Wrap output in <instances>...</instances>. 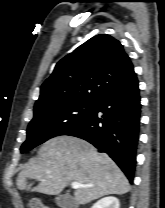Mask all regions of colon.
Listing matches in <instances>:
<instances>
[{
    "mask_svg": "<svg viewBox=\"0 0 165 208\" xmlns=\"http://www.w3.org/2000/svg\"><path fill=\"white\" fill-rule=\"evenodd\" d=\"M30 208H48L41 200L32 199L30 202Z\"/></svg>",
    "mask_w": 165,
    "mask_h": 208,
    "instance_id": "1",
    "label": "colon"
}]
</instances>
